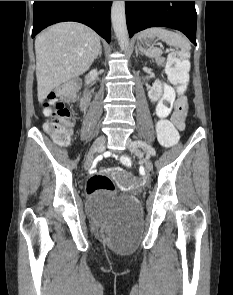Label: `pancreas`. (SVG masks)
Masks as SVG:
<instances>
[{"mask_svg":"<svg viewBox=\"0 0 233 295\" xmlns=\"http://www.w3.org/2000/svg\"><path fill=\"white\" fill-rule=\"evenodd\" d=\"M156 63H157L158 66H164V64H165V58H163V57H158V58L156 59Z\"/></svg>","mask_w":233,"mask_h":295,"instance_id":"obj_1","label":"pancreas"}]
</instances>
